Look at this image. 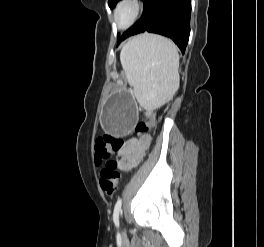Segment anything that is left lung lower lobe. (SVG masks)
<instances>
[{"mask_svg": "<svg viewBox=\"0 0 264 247\" xmlns=\"http://www.w3.org/2000/svg\"><path fill=\"white\" fill-rule=\"evenodd\" d=\"M189 0H145L142 17L119 39L151 32L171 38L182 53L185 52L190 34Z\"/></svg>", "mask_w": 264, "mask_h": 247, "instance_id": "obj_1", "label": "left lung lower lobe"}]
</instances>
